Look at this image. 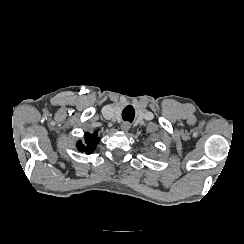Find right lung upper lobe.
I'll return each instance as SVG.
<instances>
[{
	"instance_id": "1",
	"label": "right lung upper lobe",
	"mask_w": 244,
	"mask_h": 244,
	"mask_svg": "<svg viewBox=\"0 0 244 244\" xmlns=\"http://www.w3.org/2000/svg\"><path fill=\"white\" fill-rule=\"evenodd\" d=\"M99 143V138L97 132L94 134L86 133L85 134V143L81 141L77 143V148L80 152H85L86 154H91L97 147Z\"/></svg>"
}]
</instances>
